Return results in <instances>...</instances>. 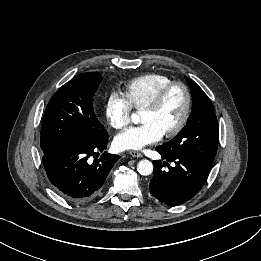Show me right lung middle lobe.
<instances>
[{
    "label": "right lung middle lobe",
    "instance_id": "dd1d6c3e",
    "mask_svg": "<svg viewBox=\"0 0 261 261\" xmlns=\"http://www.w3.org/2000/svg\"><path fill=\"white\" fill-rule=\"evenodd\" d=\"M102 81L100 73H82L64 84L49 101L41 126L43 154L73 142L107 135L98 121L93 96Z\"/></svg>",
    "mask_w": 261,
    "mask_h": 261
}]
</instances>
